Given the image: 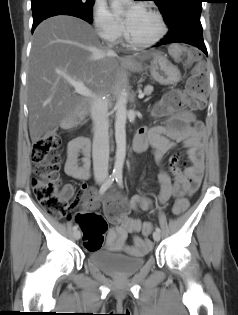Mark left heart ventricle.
<instances>
[{"mask_svg": "<svg viewBox=\"0 0 238 315\" xmlns=\"http://www.w3.org/2000/svg\"><path fill=\"white\" fill-rule=\"evenodd\" d=\"M127 28L131 37L138 41L150 40L159 32L157 19L145 9H140Z\"/></svg>", "mask_w": 238, "mask_h": 315, "instance_id": "left-heart-ventricle-1", "label": "left heart ventricle"}]
</instances>
